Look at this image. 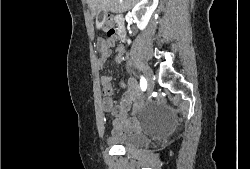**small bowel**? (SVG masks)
I'll return each mask as SVG.
<instances>
[{
  "instance_id": "1",
  "label": "small bowel",
  "mask_w": 250,
  "mask_h": 169,
  "mask_svg": "<svg viewBox=\"0 0 250 169\" xmlns=\"http://www.w3.org/2000/svg\"><path fill=\"white\" fill-rule=\"evenodd\" d=\"M98 49L102 55V59L98 60V65L103 66L111 54L112 42L110 40L100 38L97 41ZM116 62L123 60L121 52H117L115 56ZM101 85L103 89V108L110 112L113 116V129L119 135H131L139 128V122L134 117H128V111L132 105H137L141 101V89L138 80L135 77H129L123 83L125 92L119 102L115 105L112 100L114 89L112 87V76L104 75L101 77Z\"/></svg>"
}]
</instances>
